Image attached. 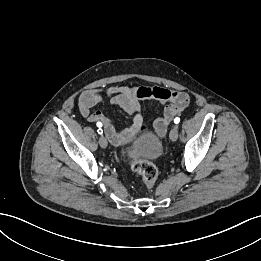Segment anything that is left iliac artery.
Masks as SVG:
<instances>
[{
  "label": "left iliac artery",
  "instance_id": "44dca946",
  "mask_svg": "<svg viewBox=\"0 0 261 261\" xmlns=\"http://www.w3.org/2000/svg\"><path fill=\"white\" fill-rule=\"evenodd\" d=\"M180 122V118L179 117H176L175 119H174V123L175 124H178Z\"/></svg>",
  "mask_w": 261,
  "mask_h": 261
}]
</instances>
